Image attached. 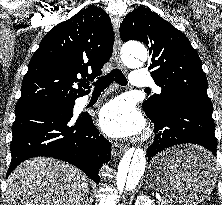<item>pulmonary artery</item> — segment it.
I'll return each instance as SVG.
<instances>
[{"label": "pulmonary artery", "instance_id": "obj_1", "mask_svg": "<svg viewBox=\"0 0 222 205\" xmlns=\"http://www.w3.org/2000/svg\"><path fill=\"white\" fill-rule=\"evenodd\" d=\"M130 83L139 89H150L154 85L153 78L145 70H134L130 77Z\"/></svg>", "mask_w": 222, "mask_h": 205}]
</instances>
